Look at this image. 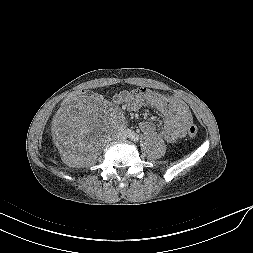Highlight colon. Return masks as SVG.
<instances>
[{"instance_id":"obj_1","label":"colon","mask_w":253,"mask_h":253,"mask_svg":"<svg viewBox=\"0 0 253 253\" xmlns=\"http://www.w3.org/2000/svg\"><path fill=\"white\" fill-rule=\"evenodd\" d=\"M91 98L92 100L98 99V94L94 92L93 90H85V91H77L72 94H70L68 97L64 99L65 105H70L71 103H74L80 98ZM187 133L190 137H194L198 133V129L195 125H191L187 129Z\"/></svg>"}]
</instances>
